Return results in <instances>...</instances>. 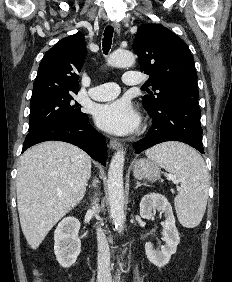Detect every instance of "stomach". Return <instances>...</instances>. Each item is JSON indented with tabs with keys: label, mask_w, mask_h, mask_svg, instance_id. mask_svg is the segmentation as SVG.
Wrapping results in <instances>:
<instances>
[{
	"label": "stomach",
	"mask_w": 232,
	"mask_h": 282,
	"mask_svg": "<svg viewBox=\"0 0 232 282\" xmlns=\"http://www.w3.org/2000/svg\"><path fill=\"white\" fill-rule=\"evenodd\" d=\"M160 173L159 166L148 159L138 160L133 166V175L139 180L155 181L160 177Z\"/></svg>",
	"instance_id": "1"
}]
</instances>
